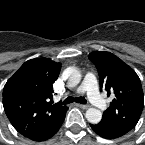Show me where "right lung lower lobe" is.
<instances>
[{
	"instance_id": "right-lung-lower-lobe-1",
	"label": "right lung lower lobe",
	"mask_w": 145,
	"mask_h": 145,
	"mask_svg": "<svg viewBox=\"0 0 145 145\" xmlns=\"http://www.w3.org/2000/svg\"><path fill=\"white\" fill-rule=\"evenodd\" d=\"M67 109L65 111H63L62 113H60L45 128L37 130V131L32 132L30 134H27V135H25V137H27L33 141L41 142V141L48 140L49 138L54 136L58 132V130L60 129V127L65 119Z\"/></svg>"
}]
</instances>
